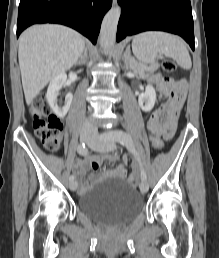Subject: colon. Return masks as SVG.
Wrapping results in <instances>:
<instances>
[{
    "instance_id": "colon-1",
    "label": "colon",
    "mask_w": 219,
    "mask_h": 258,
    "mask_svg": "<svg viewBox=\"0 0 219 258\" xmlns=\"http://www.w3.org/2000/svg\"><path fill=\"white\" fill-rule=\"evenodd\" d=\"M162 68L167 73H173L177 69L176 63L171 59H166L162 63ZM30 117L33 120V127L36 136L40 139L43 146L49 151H56L61 143L62 123L49 108L47 99L44 95L34 98L29 108ZM152 147L156 151H161L164 147L161 135L151 136ZM130 184L137 183V176L130 175Z\"/></svg>"
}]
</instances>
